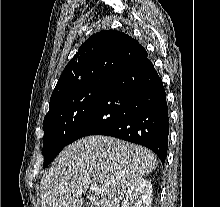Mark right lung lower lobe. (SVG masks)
Segmentation results:
<instances>
[{
    "label": "right lung lower lobe",
    "instance_id": "right-lung-lower-lobe-1",
    "mask_svg": "<svg viewBox=\"0 0 220 207\" xmlns=\"http://www.w3.org/2000/svg\"><path fill=\"white\" fill-rule=\"evenodd\" d=\"M147 56L107 81L70 143L89 135H107L145 146L165 162L169 134L166 93Z\"/></svg>",
    "mask_w": 220,
    "mask_h": 207
}]
</instances>
